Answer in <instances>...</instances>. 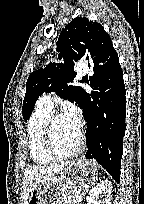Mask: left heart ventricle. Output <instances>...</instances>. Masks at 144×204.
<instances>
[{
	"label": "left heart ventricle",
	"instance_id": "left-heart-ventricle-1",
	"mask_svg": "<svg viewBox=\"0 0 144 204\" xmlns=\"http://www.w3.org/2000/svg\"><path fill=\"white\" fill-rule=\"evenodd\" d=\"M80 131L63 116L56 119L53 127V138L56 148L62 153L72 152L78 143Z\"/></svg>",
	"mask_w": 144,
	"mask_h": 204
}]
</instances>
